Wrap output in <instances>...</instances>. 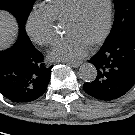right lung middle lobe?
I'll use <instances>...</instances> for the list:
<instances>
[{"label": "right lung middle lobe", "instance_id": "right-lung-middle-lobe-1", "mask_svg": "<svg viewBox=\"0 0 135 135\" xmlns=\"http://www.w3.org/2000/svg\"><path fill=\"white\" fill-rule=\"evenodd\" d=\"M35 0H0V9L12 13L19 27L25 29L26 20Z\"/></svg>", "mask_w": 135, "mask_h": 135}]
</instances>
